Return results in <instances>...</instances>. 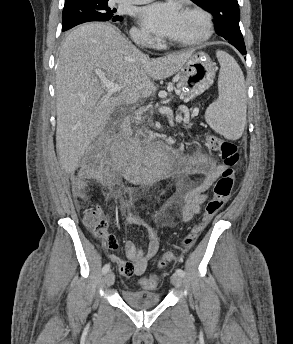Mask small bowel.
Returning a JSON list of instances; mask_svg holds the SVG:
<instances>
[{
    "label": "small bowel",
    "instance_id": "1",
    "mask_svg": "<svg viewBox=\"0 0 293 344\" xmlns=\"http://www.w3.org/2000/svg\"><path fill=\"white\" fill-rule=\"evenodd\" d=\"M225 166L217 164L209 155L204 153H194L182 161L180 172L187 175H200L201 179L190 186L183 193L182 217L185 222L191 221L201 211V206L208 198V189L222 174ZM126 225L143 226L147 230V249L143 251L132 241L127 240L124 244L126 260L116 254H110L111 262L119 267L123 276H142L145 273L147 264L151 261L159 250V240L157 230L138 216L131 213L125 215ZM162 225H168L164 219ZM103 240L108 249L115 250L118 242L113 234L105 231Z\"/></svg>",
    "mask_w": 293,
    "mask_h": 344
}]
</instances>
